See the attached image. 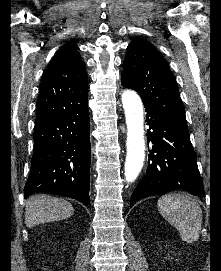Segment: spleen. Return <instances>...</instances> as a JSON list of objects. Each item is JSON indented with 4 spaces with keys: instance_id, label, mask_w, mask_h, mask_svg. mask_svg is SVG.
<instances>
[{
    "instance_id": "1",
    "label": "spleen",
    "mask_w": 221,
    "mask_h": 271,
    "mask_svg": "<svg viewBox=\"0 0 221 271\" xmlns=\"http://www.w3.org/2000/svg\"><path fill=\"white\" fill-rule=\"evenodd\" d=\"M159 213L178 229L182 241H198L202 225V209L190 195L167 193L158 199Z\"/></svg>"
}]
</instances>
